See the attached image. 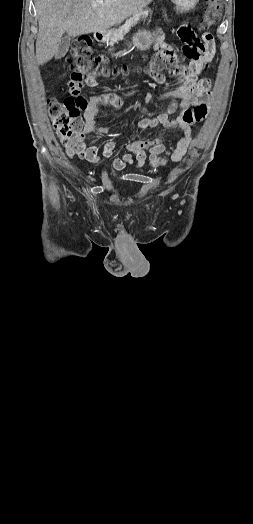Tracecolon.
Returning a JSON list of instances; mask_svg holds the SVG:
<instances>
[{
	"label": "colon",
	"mask_w": 253,
	"mask_h": 524,
	"mask_svg": "<svg viewBox=\"0 0 253 524\" xmlns=\"http://www.w3.org/2000/svg\"><path fill=\"white\" fill-rule=\"evenodd\" d=\"M221 13L222 0H206L200 29L208 30L214 27L219 22ZM66 62L72 70L68 94L63 99H51L48 110L61 143L69 146L84 128L81 114L87 109L88 101L81 94V90L85 88V84L94 86L99 79L125 73L128 69L126 66L110 69V53L93 55L92 39L88 35H81L72 42ZM206 115L207 109L204 105H197L191 110L193 123L203 121ZM179 158L180 155L175 151H167L163 156H151L150 160L154 166H163L169 160L176 161Z\"/></svg>",
	"instance_id": "colon-1"
}]
</instances>
